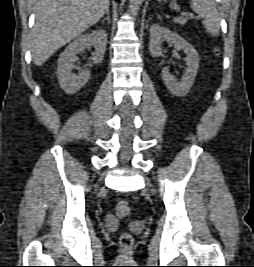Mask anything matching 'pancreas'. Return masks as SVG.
Returning <instances> with one entry per match:
<instances>
[{"instance_id": "pancreas-1", "label": "pancreas", "mask_w": 254, "mask_h": 267, "mask_svg": "<svg viewBox=\"0 0 254 267\" xmlns=\"http://www.w3.org/2000/svg\"><path fill=\"white\" fill-rule=\"evenodd\" d=\"M174 22L177 23V24H180V25H185L187 20L183 17H179L177 19H174Z\"/></svg>"}]
</instances>
